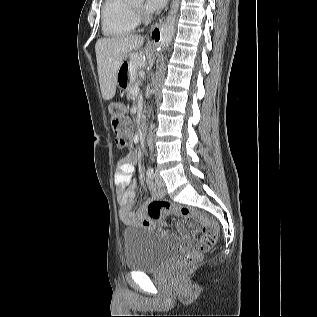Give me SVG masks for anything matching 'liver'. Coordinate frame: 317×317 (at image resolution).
I'll return each instance as SVG.
<instances>
[{
	"label": "liver",
	"instance_id": "obj_1",
	"mask_svg": "<svg viewBox=\"0 0 317 317\" xmlns=\"http://www.w3.org/2000/svg\"><path fill=\"white\" fill-rule=\"evenodd\" d=\"M144 44V38L138 35H122L112 38L98 39L95 44L97 69L100 89L104 100L115 96L118 71L124 60L133 51L139 50ZM151 55L152 47L145 50ZM137 66H144L145 61L141 54L136 53Z\"/></svg>",
	"mask_w": 317,
	"mask_h": 317
}]
</instances>
